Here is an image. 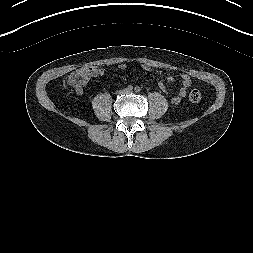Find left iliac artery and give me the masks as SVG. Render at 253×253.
Here are the masks:
<instances>
[{"label":"left iliac artery","mask_w":253,"mask_h":253,"mask_svg":"<svg viewBox=\"0 0 253 253\" xmlns=\"http://www.w3.org/2000/svg\"><path fill=\"white\" fill-rule=\"evenodd\" d=\"M135 91H136V92H140V91H141V88L137 86V87H135Z\"/></svg>","instance_id":"44dca946"}]
</instances>
